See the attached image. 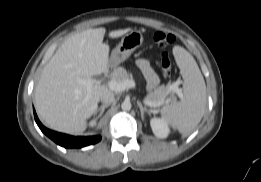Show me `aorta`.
I'll return each instance as SVG.
<instances>
[{
	"label": "aorta",
	"instance_id": "1",
	"mask_svg": "<svg viewBox=\"0 0 261 182\" xmlns=\"http://www.w3.org/2000/svg\"><path fill=\"white\" fill-rule=\"evenodd\" d=\"M132 105L130 101L125 100L124 102H122L121 104V108L123 111H129L131 109Z\"/></svg>",
	"mask_w": 261,
	"mask_h": 182
}]
</instances>
